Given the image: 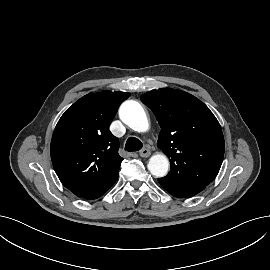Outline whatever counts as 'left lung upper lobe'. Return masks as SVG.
<instances>
[{"instance_id": "left-lung-upper-lobe-1", "label": "left lung upper lobe", "mask_w": 270, "mask_h": 270, "mask_svg": "<svg viewBox=\"0 0 270 270\" xmlns=\"http://www.w3.org/2000/svg\"><path fill=\"white\" fill-rule=\"evenodd\" d=\"M140 99L155 114L162 129L157 145L170 159L171 170L159 183L187 187L212 182L223 161L224 137L210 109L193 95L171 88Z\"/></svg>"}]
</instances>
